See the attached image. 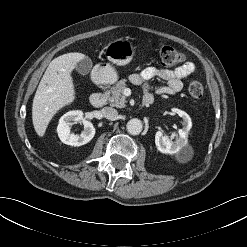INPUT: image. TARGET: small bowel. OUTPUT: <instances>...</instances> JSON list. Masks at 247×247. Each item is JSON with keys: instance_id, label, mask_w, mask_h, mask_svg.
Masks as SVG:
<instances>
[{"instance_id": "1", "label": "small bowel", "mask_w": 247, "mask_h": 247, "mask_svg": "<svg viewBox=\"0 0 247 247\" xmlns=\"http://www.w3.org/2000/svg\"><path fill=\"white\" fill-rule=\"evenodd\" d=\"M196 66L193 62L187 61L175 69H162L156 67H147L139 73L130 76V81L135 85L143 87L145 96L152 97L150 86L147 81L153 78H160L165 81V85L157 88L156 93L159 95H170L179 92L183 87V82L191 77L195 72Z\"/></svg>"}]
</instances>
